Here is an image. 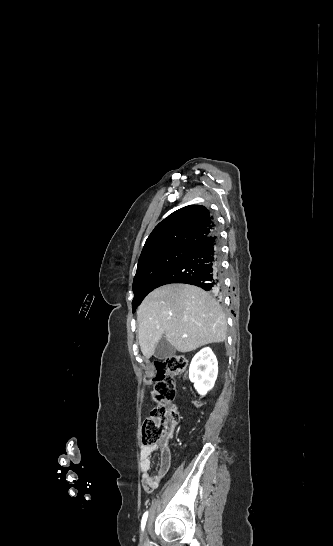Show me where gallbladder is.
<instances>
[{"instance_id": "bac80fb5", "label": "gallbladder", "mask_w": 333, "mask_h": 546, "mask_svg": "<svg viewBox=\"0 0 333 546\" xmlns=\"http://www.w3.org/2000/svg\"><path fill=\"white\" fill-rule=\"evenodd\" d=\"M175 353V347L165 339H161V341L156 345L153 355L158 360H164L172 357Z\"/></svg>"}]
</instances>
